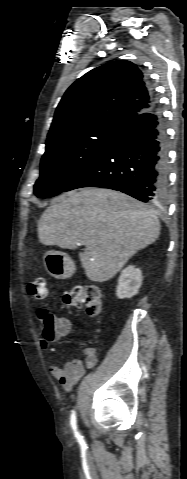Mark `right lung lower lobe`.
Wrapping results in <instances>:
<instances>
[{"label": "right lung lower lobe", "mask_w": 187, "mask_h": 479, "mask_svg": "<svg viewBox=\"0 0 187 479\" xmlns=\"http://www.w3.org/2000/svg\"><path fill=\"white\" fill-rule=\"evenodd\" d=\"M81 187L118 190L143 202L165 198L168 191L167 136L156 102L151 109L131 119L105 151L64 191Z\"/></svg>", "instance_id": "1"}]
</instances>
